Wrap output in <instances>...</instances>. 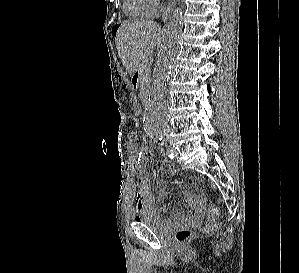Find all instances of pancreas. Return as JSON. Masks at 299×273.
I'll return each instance as SVG.
<instances>
[{"label":"pancreas","mask_w":299,"mask_h":273,"mask_svg":"<svg viewBox=\"0 0 299 273\" xmlns=\"http://www.w3.org/2000/svg\"><path fill=\"white\" fill-rule=\"evenodd\" d=\"M139 70L142 89H145L150 82L151 69L146 61H142L139 65Z\"/></svg>","instance_id":"pancreas-1"}]
</instances>
